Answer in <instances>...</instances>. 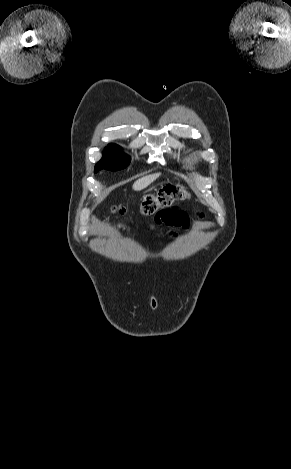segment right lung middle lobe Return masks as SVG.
Here are the masks:
<instances>
[{"mask_svg":"<svg viewBox=\"0 0 291 469\" xmlns=\"http://www.w3.org/2000/svg\"><path fill=\"white\" fill-rule=\"evenodd\" d=\"M130 163V158L124 154L118 145L110 144L105 148L102 159L95 165L94 172L101 169L111 171H118L127 167Z\"/></svg>","mask_w":291,"mask_h":469,"instance_id":"dd1d6c3e","label":"right lung middle lobe"}]
</instances>
